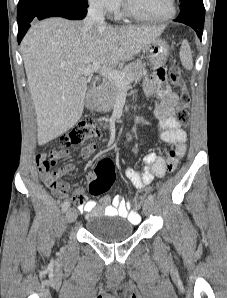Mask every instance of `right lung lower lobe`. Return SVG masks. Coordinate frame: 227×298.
I'll return each instance as SVG.
<instances>
[{"label": "right lung lower lobe", "instance_id": "1", "mask_svg": "<svg viewBox=\"0 0 227 298\" xmlns=\"http://www.w3.org/2000/svg\"><path fill=\"white\" fill-rule=\"evenodd\" d=\"M86 6L76 5L62 0H47L37 3L30 8L17 14L18 43L30 28L32 21L48 17H64L71 20L85 18Z\"/></svg>", "mask_w": 227, "mask_h": 298}]
</instances>
